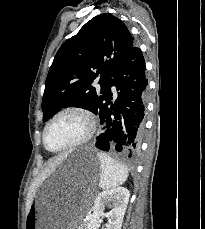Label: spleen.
<instances>
[{"mask_svg":"<svg viewBox=\"0 0 205 229\" xmlns=\"http://www.w3.org/2000/svg\"><path fill=\"white\" fill-rule=\"evenodd\" d=\"M97 157L101 166L99 186L102 189L108 190L126 181L128 177L127 168L103 152H98Z\"/></svg>","mask_w":205,"mask_h":229,"instance_id":"spleen-1","label":"spleen"}]
</instances>
